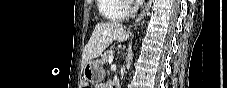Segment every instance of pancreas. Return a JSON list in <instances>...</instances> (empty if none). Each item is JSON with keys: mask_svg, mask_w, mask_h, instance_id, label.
<instances>
[{"mask_svg": "<svg viewBox=\"0 0 227 88\" xmlns=\"http://www.w3.org/2000/svg\"><path fill=\"white\" fill-rule=\"evenodd\" d=\"M112 55H113V53H112L111 50L105 51V52L103 53V55H102V60H103V62H107L108 59H109V57L112 56Z\"/></svg>", "mask_w": 227, "mask_h": 88, "instance_id": "pancreas-1", "label": "pancreas"}]
</instances>
